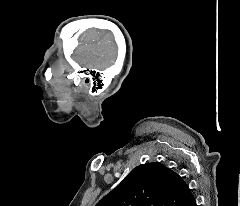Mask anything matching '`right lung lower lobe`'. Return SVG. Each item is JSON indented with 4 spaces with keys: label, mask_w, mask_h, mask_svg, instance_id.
<instances>
[{
    "label": "right lung lower lobe",
    "mask_w": 240,
    "mask_h": 206,
    "mask_svg": "<svg viewBox=\"0 0 240 206\" xmlns=\"http://www.w3.org/2000/svg\"><path fill=\"white\" fill-rule=\"evenodd\" d=\"M184 206H197L196 205V201L195 199L193 198L191 201H189L187 204H185Z\"/></svg>",
    "instance_id": "1"
}]
</instances>
